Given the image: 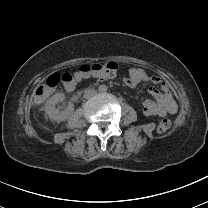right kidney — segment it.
<instances>
[{"instance_id": "1", "label": "right kidney", "mask_w": 208, "mask_h": 208, "mask_svg": "<svg viewBox=\"0 0 208 208\" xmlns=\"http://www.w3.org/2000/svg\"><path fill=\"white\" fill-rule=\"evenodd\" d=\"M65 95L63 93H56L54 94L45 104L44 110L46 114L52 119L54 122H63L66 121L70 115L73 106L70 105L69 109L64 111H59L56 109V104L59 102L64 101ZM71 108V109H70Z\"/></svg>"}]
</instances>
